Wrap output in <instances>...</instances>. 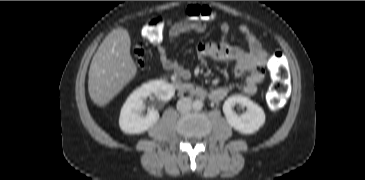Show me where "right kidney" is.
<instances>
[{"label": "right kidney", "instance_id": "1", "mask_svg": "<svg viewBox=\"0 0 365 180\" xmlns=\"http://www.w3.org/2000/svg\"><path fill=\"white\" fill-rule=\"evenodd\" d=\"M175 93L174 87L165 80H154L144 83L134 90L124 103L120 117L119 126L126 134H140L154 126L159 120V113L150 109L145 117L141 116L143 100L154 94L163 101H169Z\"/></svg>", "mask_w": 365, "mask_h": 180}]
</instances>
